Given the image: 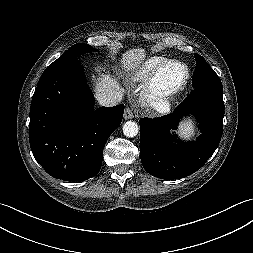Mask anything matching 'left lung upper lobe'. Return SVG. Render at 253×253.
<instances>
[{
    "label": "left lung upper lobe",
    "instance_id": "5c2ea615",
    "mask_svg": "<svg viewBox=\"0 0 253 253\" xmlns=\"http://www.w3.org/2000/svg\"><path fill=\"white\" fill-rule=\"evenodd\" d=\"M194 56L196 59V68L193 74V88L200 86H212L223 89L219 77L213 69L209 67L205 59L198 54H194Z\"/></svg>",
    "mask_w": 253,
    "mask_h": 253
}]
</instances>
